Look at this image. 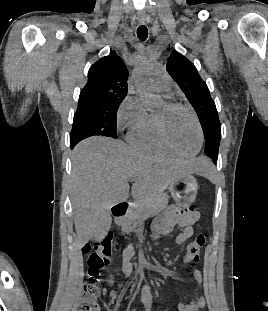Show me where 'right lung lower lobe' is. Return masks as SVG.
Wrapping results in <instances>:
<instances>
[{"mask_svg":"<svg viewBox=\"0 0 268 311\" xmlns=\"http://www.w3.org/2000/svg\"><path fill=\"white\" fill-rule=\"evenodd\" d=\"M83 139H85V137H80V138H77V139H70L71 149H73L75 147V145L77 143H79Z\"/></svg>","mask_w":268,"mask_h":311,"instance_id":"1","label":"right lung lower lobe"}]
</instances>
